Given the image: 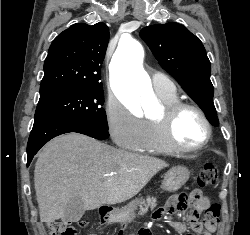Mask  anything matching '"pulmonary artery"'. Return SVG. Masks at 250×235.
Listing matches in <instances>:
<instances>
[{
  "mask_svg": "<svg viewBox=\"0 0 250 235\" xmlns=\"http://www.w3.org/2000/svg\"><path fill=\"white\" fill-rule=\"evenodd\" d=\"M152 84L156 94L172 95L175 93V86L173 82L163 74L152 75Z\"/></svg>",
  "mask_w": 250,
  "mask_h": 235,
  "instance_id": "1",
  "label": "pulmonary artery"
}]
</instances>
